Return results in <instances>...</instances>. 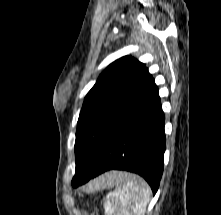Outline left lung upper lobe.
I'll return each mask as SVG.
<instances>
[{"label":"left lung upper lobe","instance_id":"left-lung-upper-lobe-1","mask_svg":"<svg viewBox=\"0 0 221 215\" xmlns=\"http://www.w3.org/2000/svg\"><path fill=\"white\" fill-rule=\"evenodd\" d=\"M151 78L146 66L125 56L110 64L84 99L76 131V169L72 182L81 180L101 150L117 116Z\"/></svg>","mask_w":221,"mask_h":215}]
</instances>
